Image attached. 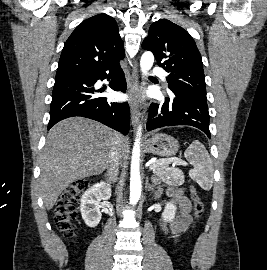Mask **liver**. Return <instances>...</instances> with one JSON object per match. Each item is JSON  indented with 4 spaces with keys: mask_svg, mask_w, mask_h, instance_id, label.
I'll list each match as a JSON object with an SVG mask.
<instances>
[{
    "mask_svg": "<svg viewBox=\"0 0 267 270\" xmlns=\"http://www.w3.org/2000/svg\"><path fill=\"white\" fill-rule=\"evenodd\" d=\"M123 158L128 139L90 119L71 117L48 132L42 151L39 178L44 205L51 210L60 194L73 182L101 174L107 167L114 140Z\"/></svg>",
    "mask_w": 267,
    "mask_h": 270,
    "instance_id": "obj_1",
    "label": "liver"
}]
</instances>
